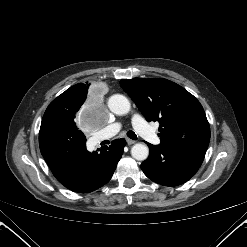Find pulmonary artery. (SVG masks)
I'll return each instance as SVG.
<instances>
[{
    "instance_id": "1",
    "label": "pulmonary artery",
    "mask_w": 247,
    "mask_h": 247,
    "mask_svg": "<svg viewBox=\"0 0 247 247\" xmlns=\"http://www.w3.org/2000/svg\"><path fill=\"white\" fill-rule=\"evenodd\" d=\"M132 124L136 131L144 137L147 141L153 144H158L159 143V138L155 131L144 121V119L138 115L134 114L132 117ZM121 123L115 122L107 127H105L100 135L102 138H109L115 134H117L121 130Z\"/></svg>"
}]
</instances>
